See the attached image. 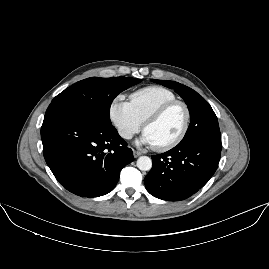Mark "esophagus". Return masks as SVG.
<instances>
[{"label":"esophagus","mask_w":269,"mask_h":269,"mask_svg":"<svg viewBox=\"0 0 269 269\" xmlns=\"http://www.w3.org/2000/svg\"><path fill=\"white\" fill-rule=\"evenodd\" d=\"M133 154H134V158H137L138 156L141 155V152H138V151L133 149Z\"/></svg>","instance_id":"obj_1"}]
</instances>
